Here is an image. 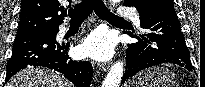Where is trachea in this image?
I'll return each mask as SVG.
<instances>
[{
	"label": "trachea",
	"mask_w": 205,
	"mask_h": 87,
	"mask_svg": "<svg viewBox=\"0 0 205 87\" xmlns=\"http://www.w3.org/2000/svg\"><path fill=\"white\" fill-rule=\"evenodd\" d=\"M93 11L103 20L109 22H125L123 18L111 13L102 0H83L74 9H70L68 15L72 22H82L86 20Z\"/></svg>",
	"instance_id": "obj_1"
}]
</instances>
